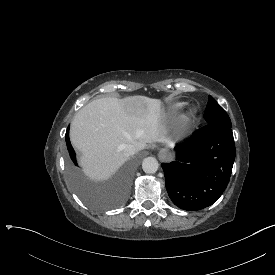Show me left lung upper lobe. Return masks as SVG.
<instances>
[{
    "mask_svg": "<svg viewBox=\"0 0 275 275\" xmlns=\"http://www.w3.org/2000/svg\"><path fill=\"white\" fill-rule=\"evenodd\" d=\"M204 119L207 124L225 123L231 125V120L224 109L209 96L208 104L204 113Z\"/></svg>",
    "mask_w": 275,
    "mask_h": 275,
    "instance_id": "left-lung-upper-lobe-1",
    "label": "left lung upper lobe"
}]
</instances>
